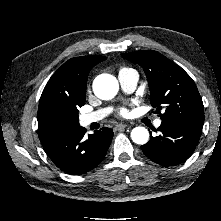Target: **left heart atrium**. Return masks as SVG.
<instances>
[{"label":"left heart atrium","mask_w":221,"mask_h":221,"mask_svg":"<svg viewBox=\"0 0 221 221\" xmlns=\"http://www.w3.org/2000/svg\"><path fill=\"white\" fill-rule=\"evenodd\" d=\"M120 114L123 115V116H125V115L127 114V110L124 109V108L121 109V110H120Z\"/></svg>","instance_id":"39dd6f15"}]
</instances>
